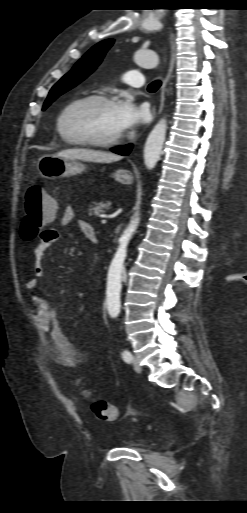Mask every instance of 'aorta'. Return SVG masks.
Here are the masks:
<instances>
[{
	"label": "aorta",
	"instance_id": "aorta-1",
	"mask_svg": "<svg viewBox=\"0 0 247 513\" xmlns=\"http://www.w3.org/2000/svg\"><path fill=\"white\" fill-rule=\"evenodd\" d=\"M134 61L137 65L152 69L157 67L159 58L156 52L152 50L138 51L134 56ZM167 131V121L165 118L160 119L154 128L149 133L145 142L143 157L147 169H153L159 161L163 144L165 141ZM139 223V218L131 222L129 227L124 231L119 239V246L115 256L111 262L107 291H108V304L109 312L112 316H117L120 312V292L122 287V272L124 261L127 255V246L131 239L132 234L135 232Z\"/></svg>",
	"mask_w": 247,
	"mask_h": 513
}]
</instances>
